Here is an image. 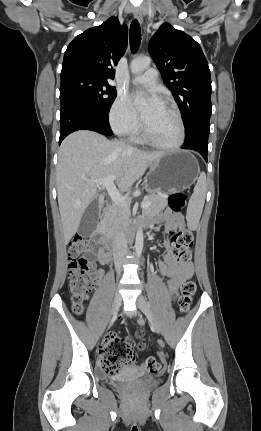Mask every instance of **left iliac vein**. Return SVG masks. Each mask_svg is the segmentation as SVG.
I'll return each instance as SVG.
<instances>
[{
  "mask_svg": "<svg viewBox=\"0 0 261 431\" xmlns=\"http://www.w3.org/2000/svg\"><path fill=\"white\" fill-rule=\"evenodd\" d=\"M136 302H137L139 309L147 317V319L149 320L150 324L155 329V331L157 333H160L161 332V326H160L159 322L157 321L156 317L154 316V314L151 310L150 304L147 301L146 297L143 296L142 294H140L138 296Z\"/></svg>",
  "mask_w": 261,
  "mask_h": 431,
  "instance_id": "4c4485c4",
  "label": "left iliac vein"
}]
</instances>
